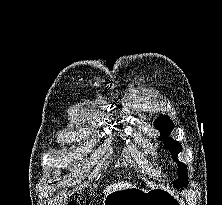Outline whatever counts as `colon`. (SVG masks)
<instances>
[{
  "instance_id": "5ec220e1",
  "label": "colon",
  "mask_w": 222,
  "mask_h": 205,
  "mask_svg": "<svg viewBox=\"0 0 222 205\" xmlns=\"http://www.w3.org/2000/svg\"><path fill=\"white\" fill-rule=\"evenodd\" d=\"M67 205H75L74 203H68Z\"/></svg>"
}]
</instances>
